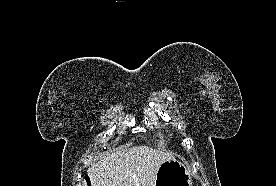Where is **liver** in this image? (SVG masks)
<instances>
[{
  "label": "liver",
  "mask_w": 276,
  "mask_h": 186,
  "mask_svg": "<svg viewBox=\"0 0 276 186\" xmlns=\"http://www.w3.org/2000/svg\"><path fill=\"white\" fill-rule=\"evenodd\" d=\"M174 155L148 146L117 149L91 164L92 186H155L160 165Z\"/></svg>",
  "instance_id": "liver-1"
}]
</instances>
